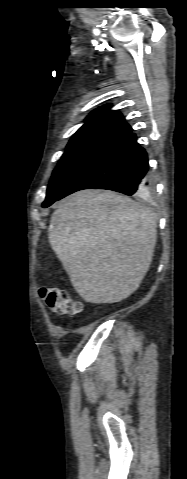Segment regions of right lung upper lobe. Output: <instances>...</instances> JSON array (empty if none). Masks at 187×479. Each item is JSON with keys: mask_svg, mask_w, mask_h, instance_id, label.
I'll list each match as a JSON object with an SVG mask.
<instances>
[{"mask_svg": "<svg viewBox=\"0 0 187 479\" xmlns=\"http://www.w3.org/2000/svg\"><path fill=\"white\" fill-rule=\"evenodd\" d=\"M110 108V105H105L91 112L81 128L105 127L129 134L132 128L126 123L123 115L117 110H110Z\"/></svg>", "mask_w": 187, "mask_h": 479, "instance_id": "1", "label": "right lung upper lobe"}]
</instances>
